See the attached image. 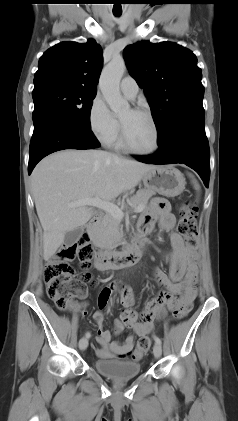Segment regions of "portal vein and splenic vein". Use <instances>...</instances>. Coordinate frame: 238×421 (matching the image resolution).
I'll return each instance as SVG.
<instances>
[{"label":"portal vein and splenic vein","mask_w":238,"mask_h":421,"mask_svg":"<svg viewBox=\"0 0 238 421\" xmlns=\"http://www.w3.org/2000/svg\"><path fill=\"white\" fill-rule=\"evenodd\" d=\"M82 206H95L97 208H100L108 213H110L115 218L121 220L124 217V212L121 208H119L117 205L102 201L99 198H93V199H86V200H78L74 202H70L68 204V207L70 208H77ZM143 210L142 207H135L134 212H141Z\"/></svg>","instance_id":"obj_1"}]
</instances>
